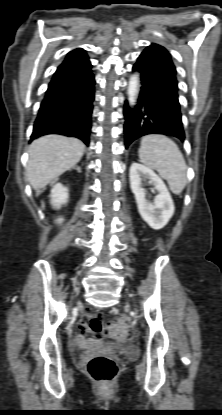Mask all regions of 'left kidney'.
Instances as JSON below:
<instances>
[{
    "label": "left kidney",
    "mask_w": 222,
    "mask_h": 415,
    "mask_svg": "<svg viewBox=\"0 0 222 415\" xmlns=\"http://www.w3.org/2000/svg\"><path fill=\"white\" fill-rule=\"evenodd\" d=\"M129 177L141 217L151 228H163L174 213V203L163 180L152 169L135 162L130 166ZM147 180L154 185L153 190L158 191L153 202L146 198L143 188Z\"/></svg>",
    "instance_id": "left-kidney-1"
}]
</instances>
